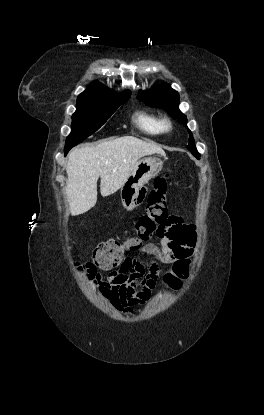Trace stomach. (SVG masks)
<instances>
[{"mask_svg":"<svg viewBox=\"0 0 264 415\" xmlns=\"http://www.w3.org/2000/svg\"><path fill=\"white\" fill-rule=\"evenodd\" d=\"M163 167V161L158 157H146L139 160L134 166L127 181L120 189V198L123 207L131 211L141 204L140 189Z\"/></svg>","mask_w":264,"mask_h":415,"instance_id":"stomach-1","label":"stomach"}]
</instances>
